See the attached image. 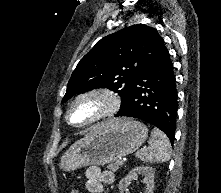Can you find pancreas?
I'll return each mask as SVG.
<instances>
[{"mask_svg": "<svg viewBox=\"0 0 221 193\" xmlns=\"http://www.w3.org/2000/svg\"><path fill=\"white\" fill-rule=\"evenodd\" d=\"M122 165H123V162H121L120 160H116L114 163L109 164L107 168L113 172H116L119 169V167Z\"/></svg>", "mask_w": 221, "mask_h": 193, "instance_id": "1", "label": "pancreas"}]
</instances>
